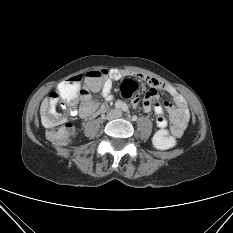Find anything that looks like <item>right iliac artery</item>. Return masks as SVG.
I'll return each instance as SVG.
<instances>
[{
    "label": "right iliac artery",
    "instance_id": "1",
    "mask_svg": "<svg viewBox=\"0 0 233 233\" xmlns=\"http://www.w3.org/2000/svg\"><path fill=\"white\" fill-rule=\"evenodd\" d=\"M121 105H122V104H121L120 102H117V103H116V107H117V108H120Z\"/></svg>",
    "mask_w": 233,
    "mask_h": 233
}]
</instances>
